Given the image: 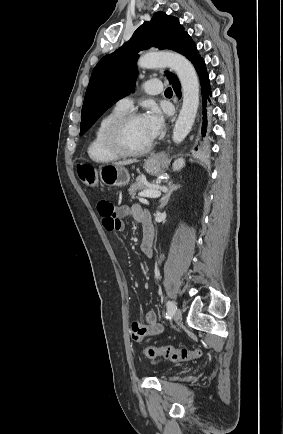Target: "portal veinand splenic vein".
I'll use <instances>...</instances> for the list:
<instances>
[{
	"mask_svg": "<svg viewBox=\"0 0 283 434\" xmlns=\"http://www.w3.org/2000/svg\"><path fill=\"white\" fill-rule=\"evenodd\" d=\"M161 195V191L158 189H147L139 193V200L143 201V197L158 198Z\"/></svg>",
	"mask_w": 283,
	"mask_h": 434,
	"instance_id": "18ae733b",
	"label": "portal vein and splenic vein"
}]
</instances>
